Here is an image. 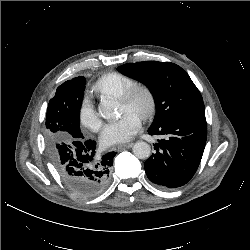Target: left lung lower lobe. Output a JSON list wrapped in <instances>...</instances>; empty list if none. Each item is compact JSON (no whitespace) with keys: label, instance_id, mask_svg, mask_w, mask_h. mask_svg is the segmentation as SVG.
I'll return each mask as SVG.
<instances>
[{"label":"left lung lower lobe","instance_id":"obj_1","mask_svg":"<svg viewBox=\"0 0 250 250\" xmlns=\"http://www.w3.org/2000/svg\"><path fill=\"white\" fill-rule=\"evenodd\" d=\"M160 135L154 148L156 153L145 162L148 179L164 188H177L186 184L195 174L206 144L205 114L176 118L148 130Z\"/></svg>","mask_w":250,"mask_h":250}]
</instances>
